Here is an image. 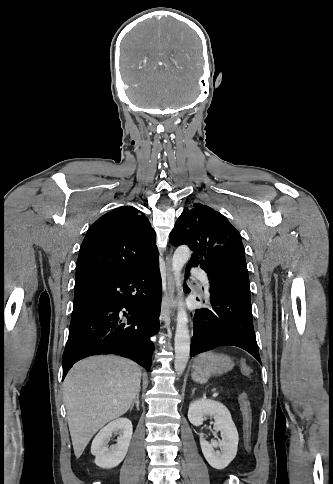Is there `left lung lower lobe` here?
I'll return each instance as SVG.
<instances>
[{"mask_svg": "<svg viewBox=\"0 0 333 484\" xmlns=\"http://www.w3.org/2000/svg\"><path fill=\"white\" fill-rule=\"evenodd\" d=\"M198 264L208 274L213 308L196 310L191 356L232 345L246 350L261 363L245 255L236 246L217 248L203 258L192 255L186 267L187 274L190 267Z\"/></svg>", "mask_w": 333, "mask_h": 484, "instance_id": "0a47b994", "label": "left lung lower lobe"}]
</instances>
